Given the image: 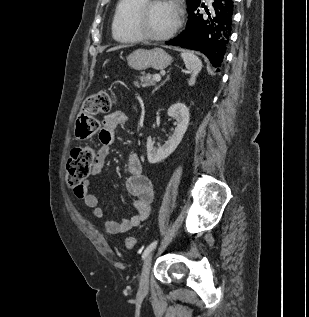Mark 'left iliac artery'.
<instances>
[{
	"mask_svg": "<svg viewBox=\"0 0 309 317\" xmlns=\"http://www.w3.org/2000/svg\"><path fill=\"white\" fill-rule=\"evenodd\" d=\"M157 243L158 241L155 240L149 246H147V248L144 250L142 254V259H145L148 256V254L156 247Z\"/></svg>",
	"mask_w": 309,
	"mask_h": 317,
	"instance_id": "obj_1",
	"label": "left iliac artery"
}]
</instances>
